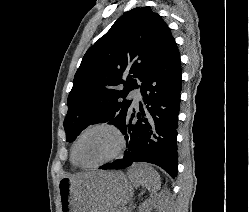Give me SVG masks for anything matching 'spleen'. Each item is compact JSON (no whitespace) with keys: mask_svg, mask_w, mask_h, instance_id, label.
I'll list each match as a JSON object with an SVG mask.
<instances>
[{"mask_svg":"<svg viewBox=\"0 0 249 212\" xmlns=\"http://www.w3.org/2000/svg\"><path fill=\"white\" fill-rule=\"evenodd\" d=\"M156 176H158V174H156L155 170L148 168L146 186L150 192H157V190H159V184L155 182Z\"/></svg>","mask_w":249,"mask_h":212,"instance_id":"obj_1","label":"spleen"}]
</instances>
